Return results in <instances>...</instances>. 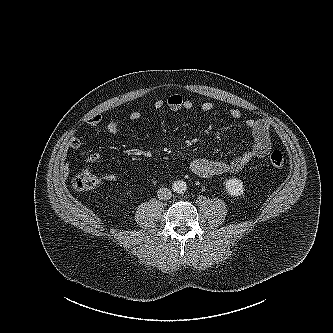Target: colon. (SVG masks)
Wrapping results in <instances>:
<instances>
[{
    "mask_svg": "<svg viewBox=\"0 0 333 333\" xmlns=\"http://www.w3.org/2000/svg\"><path fill=\"white\" fill-rule=\"evenodd\" d=\"M268 165L272 169H282L285 166V156L280 150L271 152ZM100 179L88 170L77 173L71 180V185L75 190H90L98 187Z\"/></svg>",
    "mask_w": 333,
    "mask_h": 333,
    "instance_id": "obj_1",
    "label": "colon"
}]
</instances>
